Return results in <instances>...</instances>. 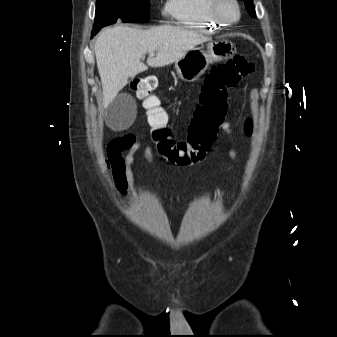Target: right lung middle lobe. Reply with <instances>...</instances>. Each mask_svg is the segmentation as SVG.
I'll list each match as a JSON object with an SVG mask.
<instances>
[{
  "instance_id": "obj_1",
  "label": "right lung middle lobe",
  "mask_w": 337,
  "mask_h": 337,
  "mask_svg": "<svg viewBox=\"0 0 337 337\" xmlns=\"http://www.w3.org/2000/svg\"><path fill=\"white\" fill-rule=\"evenodd\" d=\"M149 6V0H97L93 28L107 26L117 20L148 22Z\"/></svg>"
}]
</instances>
